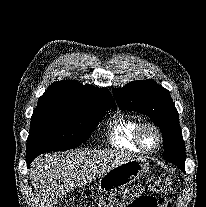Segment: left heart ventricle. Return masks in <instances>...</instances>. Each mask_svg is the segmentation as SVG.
Returning a JSON list of instances; mask_svg holds the SVG:
<instances>
[{"label": "left heart ventricle", "mask_w": 206, "mask_h": 207, "mask_svg": "<svg viewBox=\"0 0 206 207\" xmlns=\"http://www.w3.org/2000/svg\"><path fill=\"white\" fill-rule=\"evenodd\" d=\"M142 139H143L145 146L148 148H154L157 144V135L150 128H145L143 130Z\"/></svg>", "instance_id": "b2bd125f"}]
</instances>
